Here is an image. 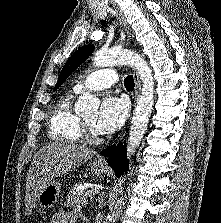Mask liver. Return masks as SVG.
Returning a JSON list of instances; mask_svg holds the SVG:
<instances>
[{"label":"liver","instance_id":"1","mask_svg":"<svg viewBox=\"0 0 221 223\" xmlns=\"http://www.w3.org/2000/svg\"><path fill=\"white\" fill-rule=\"evenodd\" d=\"M94 155L91 149L69 141H55L33 157L27 174L26 211L34 208L38 195L54 178L75 170Z\"/></svg>","mask_w":221,"mask_h":223}]
</instances>
